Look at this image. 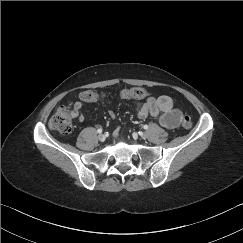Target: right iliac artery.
Here are the masks:
<instances>
[{"mask_svg":"<svg viewBox=\"0 0 243 243\" xmlns=\"http://www.w3.org/2000/svg\"><path fill=\"white\" fill-rule=\"evenodd\" d=\"M97 133H99V134L102 133V129H101V128L98 129V130H97Z\"/></svg>","mask_w":243,"mask_h":243,"instance_id":"obj_1","label":"right iliac artery"}]
</instances>
